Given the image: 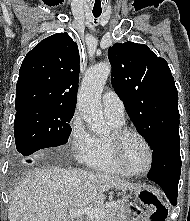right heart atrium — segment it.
Listing matches in <instances>:
<instances>
[{"mask_svg": "<svg viewBox=\"0 0 190 221\" xmlns=\"http://www.w3.org/2000/svg\"><path fill=\"white\" fill-rule=\"evenodd\" d=\"M95 136L88 130L83 119L74 113L69 121L68 145L74 159L86 163L94 151Z\"/></svg>", "mask_w": 190, "mask_h": 221, "instance_id": "d8ad5b80", "label": "right heart atrium"}]
</instances>
